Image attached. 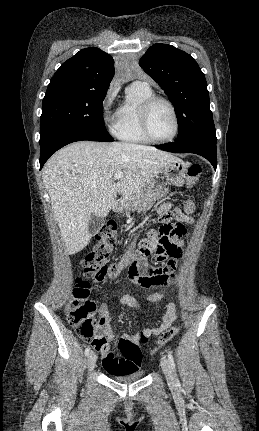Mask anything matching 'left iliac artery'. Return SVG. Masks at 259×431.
Here are the masks:
<instances>
[{
  "label": "left iliac artery",
  "mask_w": 259,
  "mask_h": 431,
  "mask_svg": "<svg viewBox=\"0 0 259 431\" xmlns=\"http://www.w3.org/2000/svg\"><path fill=\"white\" fill-rule=\"evenodd\" d=\"M168 360L171 364V367L173 368L174 372H175V363H174V358L172 356V354L170 352H168ZM178 381V380H177Z\"/></svg>",
  "instance_id": "1"
}]
</instances>
